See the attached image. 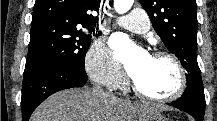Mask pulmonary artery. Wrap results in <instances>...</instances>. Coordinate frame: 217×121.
<instances>
[{"label": "pulmonary artery", "instance_id": "obj_1", "mask_svg": "<svg viewBox=\"0 0 217 121\" xmlns=\"http://www.w3.org/2000/svg\"><path fill=\"white\" fill-rule=\"evenodd\" d=\"M116 22L136 33H145L150 29V21L142 9H134L129 14L119 17Z\"/></svg>", "mask_w": 217, "mask_h": 121}]
</instances>
